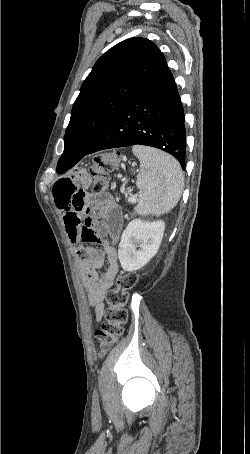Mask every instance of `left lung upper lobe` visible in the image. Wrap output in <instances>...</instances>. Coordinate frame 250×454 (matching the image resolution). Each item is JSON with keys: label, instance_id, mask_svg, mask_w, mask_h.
Instances as JSON below:
<instances>
[{"label": "left lung upper lobe", "instance_id": "obj_1", "mask_svg": "<svg viewBox=\"0 0 250 454\" xmlns=\"http://www.w3.org/2000/svg\"><path fill=\"white\" fill-rule=\"evenodd\" d=\"M165 65L157 46L140 37L122 41L103 54L75 100L63 154H85L109 119Z\"/></svg>", "mask_w": 250, "mask_h": 454}]
</instances>
